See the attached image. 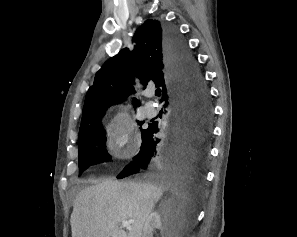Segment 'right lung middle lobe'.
Returning a JSON list of instances; mask_svg holds the SVG:
<instances>
[{"label": "right lung middle lobe", "mask_w": 297, "mask_h": 237, "mask_svg": "<svg viewBox=\"0 0 297 237\" xmlns=\"http://www.w3.org/2000/svg\"><path fill=\"white\" fill-rule=\"evenodd\" d=\"M139 125L142 121H137ZM142 137L147 129H142ZM106 132L100 121L89 126L79 133L78 150H79V174L90 166H94L111 158L105 147Z\"/></svg>", "instance_id": "1"}]
</instances>
